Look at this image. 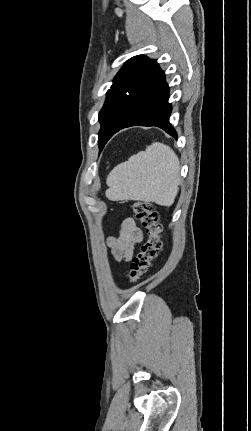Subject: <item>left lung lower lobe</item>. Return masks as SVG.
<instances>
[{"instance_id":"0a47b994","label":"left lung lower lobe","mask_w":251,"mask_h":431,"mask_svg":"<svg viewBox=\"0 0 251 431\" xmlns=\"http://www.w3.org/2000/svg\"><path fill=\"white\" fill-rule=\"evenodd\" d=\"M168 99L169 87L164 72L156 64L111 137L123 128L139 125L157 126L177 138L176 131L169 123L172 107Z\"/></svg>"}]
</instances>
